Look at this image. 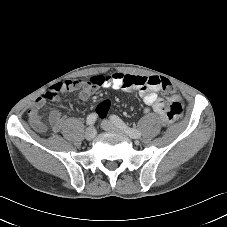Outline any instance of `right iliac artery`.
<instances>
[{"instance_id": "obj_1", "label": "right iliac artery", "mask_w": 227, "mask_h": 227, "mask_svg": "<svg viewBox=\"0 0 227 227\" xmlns=\"http://www.w3.org/2000/svg\"><path fill=\"white\" fill-rule=\"evenodd\" d=\"M96 119H97V114L92 113V114L88 115L87 120H86V124L87 125H93L95 123Z\"/></svg>"}]
</instances>
